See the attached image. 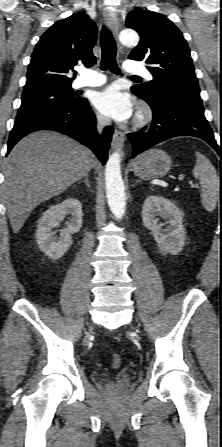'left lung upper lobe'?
Listing matches in <instances>:
<instances>
[{
    "label": "left lung upper lobe",
    "mask_w": 222,
    "mask_h": 447,
    "mask_svg": "<svg viewBox=\"0 0 222 447\" xmlns=\"http://www.w3.org/2000/svg\"><path fill=\"white\" fill-rule=\"evenodd\" d=\"M126 27L140 35L129 59L144 61L154 77L133 86L132 92L149 103L176 94L202 104L190 50L179 29L165 16L143 9L128 14Z\"/></svg>",
    "instance_id": "5c2ea615"
}]
</instances>
